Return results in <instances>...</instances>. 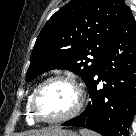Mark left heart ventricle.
Segmentation results:
<instances>
[{
  "mask_svg": "<svg viewBox=\"0 0 136 136\" xmlns=\"http://www.w3.org/2000/svg\"><path fill=\"white\" fill-rule=\"evenodd\" d=\"M76 95L67 83H49L39 94L36 111L43 118H57L68 113L74 106Z\"/></svg>",
  "mask_w": 136,
  "mask_h": 136,
  "instance_id": "1",
  "label": "left heart ventricle"
}]
</instances>
